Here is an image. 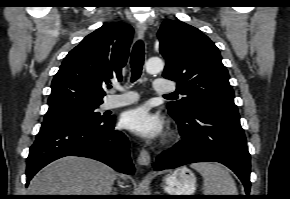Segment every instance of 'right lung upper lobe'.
<instances>
[{
	"label": "right lung upper lobe",
	"instance_id": "cb5924a9",
	"mask_svg": "<svg viewBox=\"0 0 290 199\" xmlns=\"http://www.w3.org/2000/svg\"><path fill=\"white\" fill-rule=\"evenodd\" d=\"M133 28L106 23L71 50L54 76L46 115L102 104L103 90L113 77L121 80Z\"/></svg>",
	"mask_w": 290,
	"mask_h": 199
}]
</instances>
